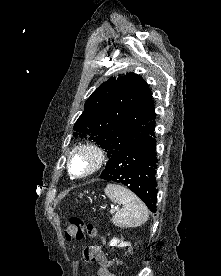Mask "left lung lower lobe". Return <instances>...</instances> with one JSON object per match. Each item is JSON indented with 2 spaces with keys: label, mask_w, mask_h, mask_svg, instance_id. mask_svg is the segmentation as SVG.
Segmentation results:
<instances>
[{
  "label": "left lung lower lobe",
  "mask_w": 221,
  "mask_h": 276,
  "mask_svg": "<svg viewBox=\"0 0 221 276\" xmlns=\"http://www.w3.org/2000/svg\"><path fill=\"white\" fill-rule=\"evenodd\" d=\"M154 130L155 121L152 120L128 147L109 158L106 168L100 175L104 180L126 185L152 212L156 211L155 173L158 162L155 155Z\"/></svg>",
  "instance_id": "left-lung-lower-lobe-1"
}]
</instances>
